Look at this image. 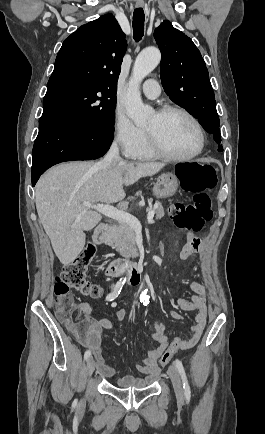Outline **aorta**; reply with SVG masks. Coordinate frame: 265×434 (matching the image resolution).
Wrapping results in <instances>:
<instances>
[{
  "mask_svg": "<svg viewBox=\"0 0 265 434\" xmlns=\"http://www.w3.org/2000/svg\"><path fill=\"white\" fill-rule=\"evenodd\" d=\"M160 60L161 54L158 48H145L135 60L127 88L125 104L127 116L133 120L136 126H145L148 120L152 118L153 110L150 106H144L139 86L142 80L155 70Z\"/></svg>",
  "mask_w": 265,
  "mask_h": 434,
  "instance_id": "762f6f07",
  "label": "aorta"
}]
</instances>
